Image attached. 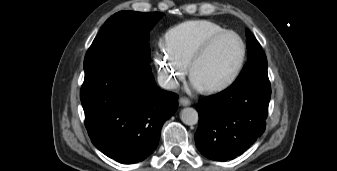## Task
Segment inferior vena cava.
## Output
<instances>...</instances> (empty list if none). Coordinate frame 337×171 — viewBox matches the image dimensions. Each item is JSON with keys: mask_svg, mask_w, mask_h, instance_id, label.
Returning <instances> with one entry per match:
<instances>
[{"mask_svg": "<svg viewBox=\"0 0 337 171\" xmlns=\"http://www.w3.org/2000/svg\"><path fill=\"white\" fill-rule=\"evenodd\" d=\"M158 83L164 89H176L179 85L177 80L169 78V76L164 73L158 76Z\"/></svg>", "mask_w": 337, "mask_h": 171, "instance_id": "obj_1", "label": "inferior vena cava"}]
</instances>
